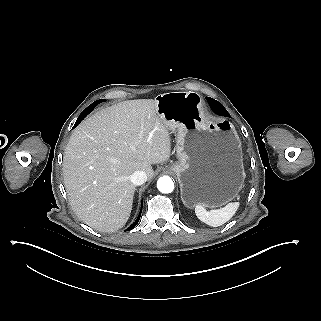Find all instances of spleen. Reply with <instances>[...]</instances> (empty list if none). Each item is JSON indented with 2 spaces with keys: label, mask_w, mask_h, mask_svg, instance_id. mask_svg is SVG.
Returning <instances> with one entry per match:
<instances>
[{
  "label": "spleen",
  "mask_w": 321,
  "mask_h": 321,
  "mask_svg": "<svg viewBox=\"0 0 321 321\" xmlns=\"http://www.w3.org/2000/svg\"><path fill=\"white\" fill-rule=\"evenodd\" d=\"M238 206L239 203L234 202L218 210L207 211L201 205H197L195 207V214L203 223L212 227H218L230 220Z\"/></svg>",
  "instance_id": "1"
}]
</instances>
